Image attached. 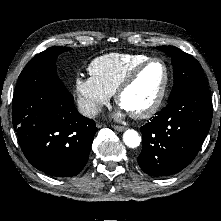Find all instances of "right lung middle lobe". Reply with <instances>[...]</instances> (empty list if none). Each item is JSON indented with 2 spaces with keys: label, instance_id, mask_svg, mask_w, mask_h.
Returning <instances> with one entry per match:
<instances>
[{
  "label": "right lung middle lobe",
  "instance_id": "1",
  "mask_svg": "<svg viewBox=\"0 0 221 221\" xmlns=\"http://www.w3.org/2000/svg\"><path fill=\"white\" fill-rule=\"evenodd\" d=\"M71 50L68 47H50L37 54L19 75L13 101L21 96L41 89L67 91L57 76L56 60L60 53Z\"/></svg>",
  "mask_w": 221,
  "mask_h": 221
}]
</instances>
